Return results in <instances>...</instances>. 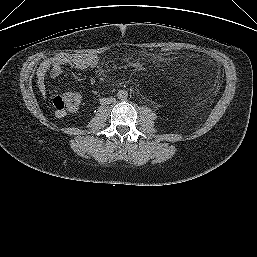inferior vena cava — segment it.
Returning <instances> with one entry per match:
<instances>
[{
  "mask_svg": "<svg viewBox=\"0 0 257 257\" xmlns=\"http://www.w3.org/2000/svg\"><path fill=\"white\" fill-rule=\"evenodd\" d=\"M103 101H104V103L109 104V103L113 102L114 99H113V98H106V99H104Z\"/></svg>",
  "mask_w": 257,
  "mask_h": 257,
  "instance_id": "602c4592",
  "label": "inferior vena cava"
}]
</instances>
